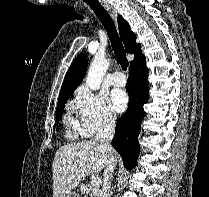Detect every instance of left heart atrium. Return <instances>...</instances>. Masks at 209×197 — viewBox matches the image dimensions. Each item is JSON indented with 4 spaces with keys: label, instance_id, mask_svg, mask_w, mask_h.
I'll list each match as a JSON object with an SVG mask.
<instances>
[{
    "label": "left heart atrium",
    "instance_id": "left-heart-atrium-1",
    "mask_svg": "<svg viewBox=\"0 0 209 197\" xmlns=\"http://www.w3.org/2000/svg\"><path fill=\"white\" fill-rule=\"evenodd\" d=\"M111 107L116 111V112H123L129 103L128 96L125 92L123 91H114L111 95Z\"/></svg>",
    "mask_w": 209,
    "mask_h": 197
}]
</instances>
